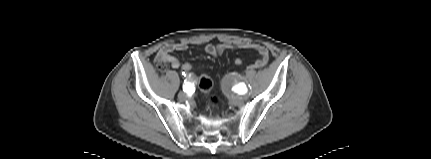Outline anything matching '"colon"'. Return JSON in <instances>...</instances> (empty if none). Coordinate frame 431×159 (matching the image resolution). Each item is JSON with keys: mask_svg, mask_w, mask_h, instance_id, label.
Wrapping results in <instances>:
<instances>
[{"mask_svg": "<svg viewBox=\"0 0 431 159\" xmlns=\"http://www.w3.org/2000/svg\"><path fill=\"white\" fill-rule=\"evenodd\" d=\"M234 64L236 66H242V60L240 58H235L234 59ZM157 66L160 70H165L166 69V64L163 62H157ZM196 67V64L193 61H188L187 63H183V66L180 68V72L183 75H186L187 73L192 72V70ZM240 71H243V68H240ZM198 86L200 88V90L204 93V94H209L210 91L213 88V81L212 79L207 76V75H202L199 78L198 81ZM218 98L213 96L210 97V103L211 106L213 107V109H216L218 106Z\"/></svg>", "mask_w": 431, "mask_h": 159, "instance_id": "colon-1", "label": "colon"}]
</instances>
